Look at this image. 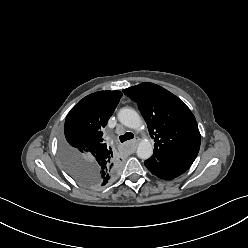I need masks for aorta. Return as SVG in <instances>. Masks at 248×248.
Returning <instances> with one entry per match:
<instances>
[{
	"label": "aorta",
	"mask_w": 248,
	"mask_h": 248,
	"mask_svg": "<svg viewBox=\"0 0 248 248\" xmlns=\"http://www.w3.org/2000/svg\"><path fill=\"white\" fill-rule=\"evenodd\" d=\"M118 120L131 129H139L142 121L140 115L132 108H123L118 113ZM153 154V146L149 140H142L137 147V156L146 160Z\"/></svg>",
	"instance_id": "obj_1"
}]
</instances>
